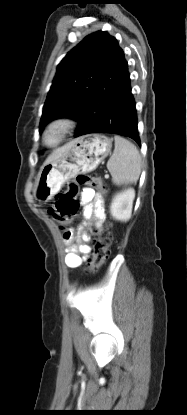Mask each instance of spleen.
<instances>
[{
	"label": "spleen",
	"instance_id": "spleen-1",
	"mask_svg": "<svg viewBox=\"0 0 187 415\" xmlns=\"http://www.w3.org/2000/svg\"><path fill=\"white\" fill-rule=\"evenodd\" d=\"M114 141V152L107 162L112 181L118 186L135 183L141 173V155L129 140L116 135Z\"/></svg>",
	"mask_w": 187,
	"mask_h": 415
}]
</instances>
